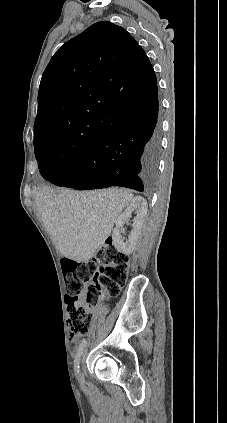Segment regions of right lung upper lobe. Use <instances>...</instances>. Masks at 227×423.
Masks as SVG:
<instances>
[{"label":"right lung upper lobe","mask_w":227,"mask_h":423,"mask_svg":"<svg viewBox=\"0 0 227 423\" xmlns=\"http://www.w3.org/2000/svg\"><path fill=\"white\" fill-rule=\"evenodd\" d=\"M157 89L153 67L122 27L98 22L66 42L43 73L34 141L53 138L89 148L126 122L108 115L116 104L146 100Z\"/></svg>","instance_id":"cb5924a9"}]
</instances>
